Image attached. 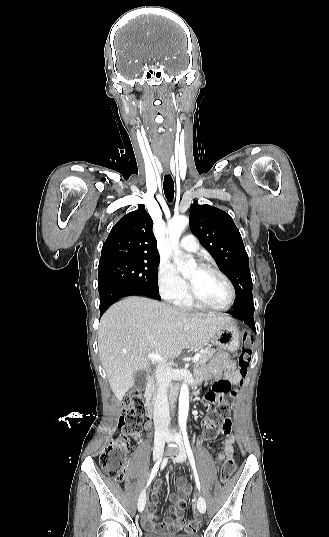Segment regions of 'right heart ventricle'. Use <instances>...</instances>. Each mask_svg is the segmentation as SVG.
Wrapping results in <instances>:
<instances>
[{
    "mask_svg": "<svg viewBox=\"0 0 329 537\" xmlns=\"http://www.w3.org/2000/svg\"><path fill=\"white\" fill-rule=\"evenodd\" d=\"M175 303L176 305L183 307V308H192L195 306L194 303L190 300L189 296L187 295L183 299Z\"/></svg>",
    "mask_w": 329,
    "mask_h": 537,
    "instance_id": "obj_1",
    "label": "right heart ventricle"
}]
</instances>
